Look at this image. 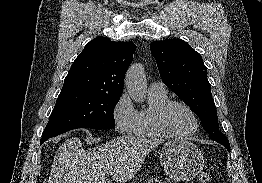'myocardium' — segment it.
<instances>
[{
    "instance_id": "obj_1",
    "label": "myocardium",
    "mask_w": 262,
    "mask_h": 183,
    "mask_svg": "<svg viewBox=\"0 0 262 183\" xmlns=\"http://www.w3.org/2000/svg\"><path fill=\"white\" fill-rule=\"evenodd\" d=\"M176 105L186 108L193 116L195 121V126L192 131L185 134H176L171 130H169V128L167 127L166 125L167 114L170 111V109ZM155 125L159 133L164 137L173 138V139H186L192 137L198 132L200 128V119L196 111L188 103L181 100H169L165 104H163L157 111L155 116Z\"/></svg>"
}]
</instances>
